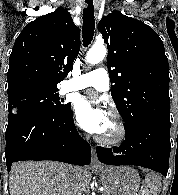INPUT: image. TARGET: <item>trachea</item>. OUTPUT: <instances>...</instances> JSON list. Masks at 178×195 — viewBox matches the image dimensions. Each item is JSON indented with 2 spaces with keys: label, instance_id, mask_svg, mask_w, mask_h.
Here are the masks:
<instances>
[{
  "label": "trachea",
  "instance_id": "obj_1",
  "mask_svg": "<svg viewBox=\"0 0 178 195\" xmlns=\"http://www.w3.org/2000/svg\"><path fill=\"white\" fill-rule=\"evenodd\" d=\"M86 8L83 9V46L87 47L94 35L95 19H94V7L93 0H85Z\"/></svg>",
  "mask_w": 178,
  "mask_h": 195
}]
</instances>
